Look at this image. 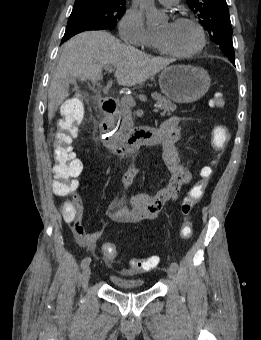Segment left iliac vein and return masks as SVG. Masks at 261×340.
Wrapping results in <instances>:
<instances>
[{"mask_svg": "<svg viewBox=\"0 0 261 340\" xmlns=\"http://www.w3.org/2000/svg\"><path fill=\"white\" fill-rule=\"evenodd\" d=\"M167 273L171 278L175 279L177 276V269L170 266L167 268Z\"/></svg>", "mask_w": 261, "mask_h": 340, "instance_id": "1", "label": "left iliac vein"}]
</instances>
